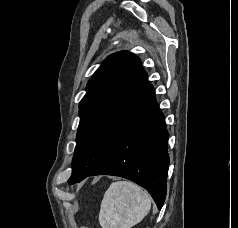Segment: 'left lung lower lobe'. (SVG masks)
Wrapping results in <instances>:
<instances>
[{
  "label": "left lung lower lobe",
  "instance_id": "left-lung-lower-lobe-1",
  "mask_svg": "<svg viewBox=\"0 0 238 228\" xmlns=\"http://www.w3.org/2000/svg\"><path fill=\"white\" fill-rule=\"evenodd\" d=\"M168 132L151 84L120 129L106 157L89 173L71 176L75 184L92 175L120 176L144 187L159 209L166 196Z\"/></svg>",
  "mask_w": 238,
  "mask_h": 228
}]
</instances>
